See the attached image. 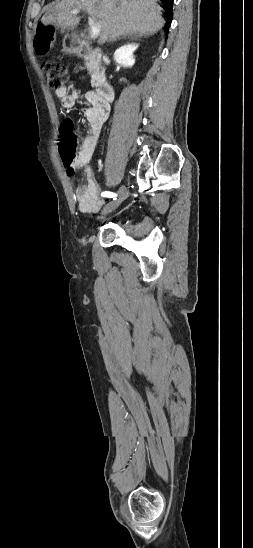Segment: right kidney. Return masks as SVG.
<instances>
[{
  "label": "right kidney",
  "mask_w": 253,
  "mask_h": 548,
  "mask_svg": "<svg viewBox=\"0 0 253 548\" xmlns=\"http://www.w3.org/2000/svg\"><path fill=\"white\" fill-rule=\"evenodd\" d=\"M138 44L129 43L118 48L114 53V60L125 68H130L135 63L133 52L137 49Z\"/></svg>",
  "instance_id": "ca27d5eb"
}]
</instances>
